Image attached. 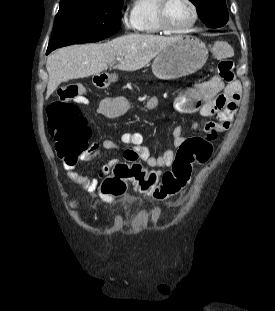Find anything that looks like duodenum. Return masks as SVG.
<instances>
[{
	"label": "duodenum",
	"mask_w": 275,
	"mask_h": 311,
	"mask_svg": "<svg viewBox=\"0 0 275 311\" xmlns=\"http://www.w3.org/2000/svg\"><path fill=\"white\" fill-rule=\"evenodd\" d=\"M91 82L98 88H104L105 84H109V77H103V74H92Z\"/></svg>",
	"instance_id": "410a0bca"
}]
</instances>
